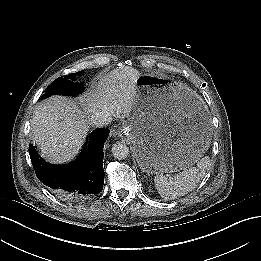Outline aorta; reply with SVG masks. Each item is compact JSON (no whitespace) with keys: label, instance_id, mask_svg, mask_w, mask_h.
I'll return each mask as SVG.
<instances>
[{"label":"aorta","instance_id":"762f6f07","mask_svg":"<svg viewBox=\"0 0 261 261\" xmlns=\"http://www.w3.org/2000/svg\"><path fill=\"white\" fill-rule=\"evenodd\" d=\"M112 154L114 158L123 160L127 158L129 154V148L123 143H116L112 146Z\"/></svg>","mask_w":261,"mask_h":261}]
</instances>
